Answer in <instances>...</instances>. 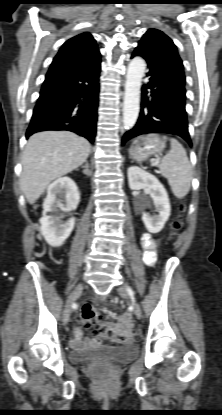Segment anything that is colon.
<instances>
[{"label":"colon","mask_w":222,"mask_h":415,"mask_svg":"<svg viewBox=\"0 0 222 415\" xmlns=\"http://www.w3.org/2000/svg\"><path fill=\"white\" fill-rule=\"evenodd\" d=\"M183 206H180V211ZM182 227V221L178 218L171 223V235L174 237ZM83 325L94 334H102L113 343L134 341L140 338L138 329L126 330L120 323H111L105 320L103 315L93 307H84L80 314Z\"/></svg>","instance_id":"5ec220e1"}]
</instances>
